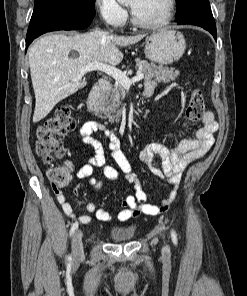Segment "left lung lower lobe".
Returning a JSON list of instances; mask_svg holds the SVG:
<instances>
[{
  "instance_id": "1",
  "label": "left lung lower lobe",
  "mask_w": 247,
  "mask_h": 296,
  "mask_svg": "<svg viewBox=\"0 0 247 296\" xmlns=\"http://www.w3.org/2000/svg\"><path fill=\"white\" fill-rule=\"evenodd\" d=\"M178 24H193L208 30L217 40L216 24L209 3H199L192 10L177 18Z\"/></svg>"
}]
</instances>
